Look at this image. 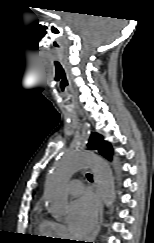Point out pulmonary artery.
<instances>
[{
    "mask_svg": "<svg viewBox=\"0 0 154 243\" xmlns=\"http://www.w3.org/2000/svg\"><path fill=\"white\" fill-rule=\"evenodd\" d=\"M67 190L73 196L79 195L83 190L82 182L79 180L70 181L67 185Z\"/></svg>",
    "mask_w": 154,
    "mask_h": 243,
    "instance_id": "pulmonary-artery-1",
    "label": "pulmonary artery"
}]
</instances>
